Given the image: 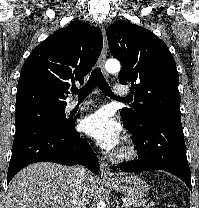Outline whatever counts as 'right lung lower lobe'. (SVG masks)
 <instances>
[{
	"mask_svg": "<svg viewBox=\"0 0 199 208\" xmlns=\"http://www.w3.org/2000/svg\"><path fill=\"white\" fill-rule=\"evenodd\" d=\"M41 161L64 165L81 164L93 173L98 172V161L86 139L75 130V122L54 127L31 123L17 127L7 183L25 166Z\"/></svg>",
	"mask_w": 199,
	"mask_h": 208,
	"instance_id": "1",
	"label": "right lung lower lobe"
}]
</instances>
